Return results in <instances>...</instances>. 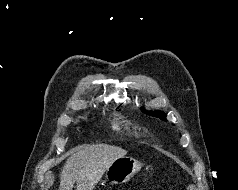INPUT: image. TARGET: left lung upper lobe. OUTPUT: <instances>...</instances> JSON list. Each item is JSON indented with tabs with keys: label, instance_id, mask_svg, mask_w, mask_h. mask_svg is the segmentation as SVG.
Here are the masks:
<instances>
[{
	"label": "left lung upper lobe",
	"instance_id": "1",
	"mask_svg": "<svg viewBox=\"0 0 238 190\" xmlns=\"http://www.w3.org/2000/svg\"><path fill=\"white\" fill-rule=\"evenodd\" d=\"M142 111H144V110H142ZM144 112H146V111H144ZM146 113L151 115V116L158 117L161 120H164V121L166 120V115L162 111H150V112H146Z\"/></svg>",
	"mask_w": 238,
	"mask_h": 190
}]
</instances>
